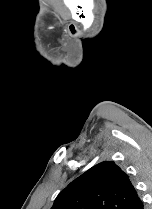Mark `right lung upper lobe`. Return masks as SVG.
<instances>
[{
  "label": "right lung upper lobe",
  "instance_id": "obj_1",
  "mask_svg": "<svg viewBox=\"0 0 152 209\" xmlns=\"http://www.w3.org/2000/svg\"><path fill=\"white\" fill-rule=\"evenodd\" d=\"M137 192L113 161L101 162L72 181L51 209H127Z\"/></svg>",
  "mask_w": 152,
  "mask_h": 209
}]
</instances>
